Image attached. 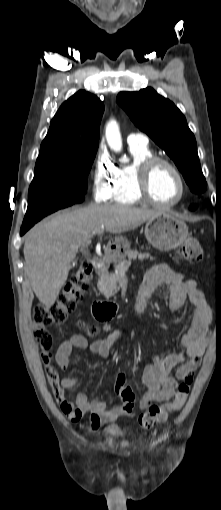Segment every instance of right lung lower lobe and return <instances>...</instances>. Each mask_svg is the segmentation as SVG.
Returning a JSON list of instances; mask_svg holds the SVG:
<instances>
[{
    "instance_id": "98d812e1",
    "label": "right lung lower lobe",
    "mask_w": 221,
    "mask_h": 510,
    "mask_svg": "<svg viewBox=\"0 0 221 510\" xmlns=\"http://www.w3.org/2000/svg\"><path fill=\"white\" fill-rule=\"evenodd\" d=\"M56 210L43 205H28L27 212L20 230V235L28 231L36 222Z\"/></svg>"
}]
</instances>
